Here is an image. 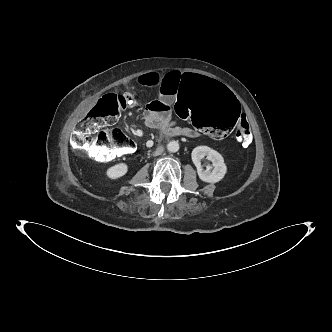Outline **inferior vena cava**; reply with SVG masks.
Segmentation results:
<instances>
[{"mask_svg": "<svg viewBox=\"0 0 332 332\" xmlns=\"http://www.w3.org/2000/svg\"><path fill=\"white\" fill-rule=\"evenodd\" d=\"M163 151L162 148H160L158 151H156V154L159 155Z\"/></svg>", "mask_w": 332, "mask_h": 332, "instance_id": "inferior-vena-cava-1", "label": "inferior vena cava"}]
</instances>
